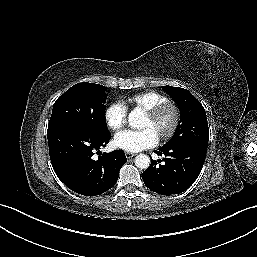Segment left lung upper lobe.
I'll return each mask as SVG.
<instances>
[{
    "instance_id": "obj_1",
    "label": "left lung upper lobe",
    "mask_w": 257,
    "mask_h": 257,
    "mask_svg": "<svg viewBox=\"0 0 257 257\" xmlns=\"http://www.w3.org/2000/svg\"><path fill=\"white\" fill-rule=\"evenodd\" d=\"M162 88L173 98L181 113L175 134L165 147L199 145L207 148L209 128L202 104L186 89L172 86Z\"/></svg>"
}]
</instances>
